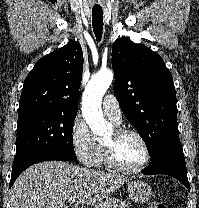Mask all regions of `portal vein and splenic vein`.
I'll use <instances>...</instances> for the list:
<instances>
[{
  "label": "portal vein and splenic vein",
  "mask_w": 199,
  "mask_h": 208,
  "mask_svg": "<svg viewBox=\"0 0 199 208\" xmlns=\"http://www.w3.org/2000/svg\"><path fill=\"white\" fill-rule=\"evenodd\" d=\"M68 202H69V203H74V202H75V197H70V198H68Z\"/></svg>",
  "instance_id": "obj_1"
}]
</instances>
